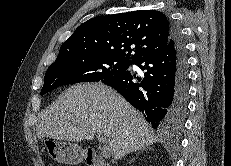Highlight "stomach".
<instances>
[{
	"label": "stomach",
	"instance_id": "0dacf381",
	"mask_svg": "<svg viewBox=\"0 0 231 166\" xmlns=\"http://www.w3.org/2000/svg\"><path fill=\"white\" fill-rule=\"evenodd\" d=\"M46 147L50 157L59 163L75 165L85 158V151L70 141L52 140L47 142Z\"/></svg>",
	"mask_w": 231,
	"mask_h": 166
}]
</instances>
